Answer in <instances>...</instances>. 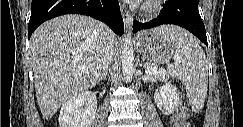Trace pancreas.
Here are the masks:
<instances>
[{
    "instance_id": "1",
    "label": "pancreas",
    "mask_w": 243,
    "mask_h": 127,
    "mask_svg": "<svg viewBox=\"0 0 243 127\" xmlns=\"http://www.w3.org/2000/svg\"><path fill=\"white\" fill-rule=\"evenodd\" d=\"M149 75L153 76L154 78H156V79H158L160 81L167 80V78L163 74H160L159 72L153 73V74H149Z\"/></svg>"
}]
</instances>
